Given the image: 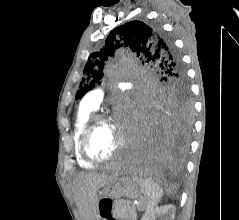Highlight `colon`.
I'll return each instance as SVG.
<instances>
[{
    "instance_id": "5ec220e1",
    "label": "colon",
    "mask_w": 239,
    "mask_h": 220,
    "mask_svg": "<svg viewBox=\"0 0 239 220\" xmlns=\"http://www.w3.org/2000/svg\"><path fill=\"white\" fill-rule=\"evenodd\" d=\"M100 214L105 220H113L111 217L112 201L103 200L100 202Z\"/></svg>"
}]
</instances>
